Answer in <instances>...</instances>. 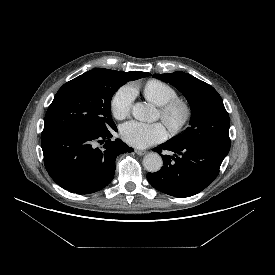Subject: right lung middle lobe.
Here are the masks:
<instances>
[{
    "label": "right lung middle lobe",
    "instance_id": "dd1d6c3e",
    "mask_svg": "<svg viewBox=\"0 0 275 275\" xmlns=\"http://www.w3.org/2000/svg\"><path fill=\"white\" fill-rule=\"evenodd\" d=\"M126 82L119 72L106 69L65 83L46 112L44 127L71 126L92 133L114 129L111 99Z\"/></svg>",
    "mask_w": 275,
    "mask_h": 275
}]
</instances>
